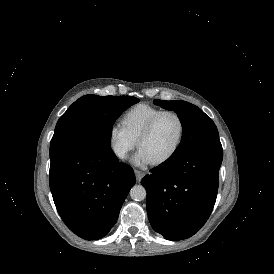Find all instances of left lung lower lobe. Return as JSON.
I'll use <instances>...</instances> for the list:
<instances>
[{
	"label": "left lung lower lobe",
	"mask_w": 274,
	"mask_h": 274,
	"mask_svg": "<svg viewBox=\"0 0 274 274\" xmlns=\"http://www.w3.org/2000/svg\"><path fill=\"white\" fill-rule=\"evenodd\" d=\"M222 159L221 145L204 146L150 170L141 184L156 232L177 241L191 237L205 224L216 201Z\"/></svg>",
	"instance_id": "obj_1"
}]
</instances>
